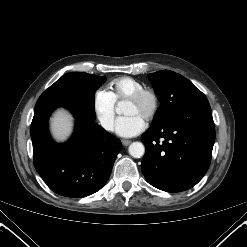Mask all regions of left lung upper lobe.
<instances>
[{
	"instance_id": "obj_1",
	"label": "left lung upper lobe",
	"mask_w": 247,
	"mask_h": 247,
	"mask_svg": "<svg viewBox=\"0 0 247 247\" xmlns=\"http://www.w3.org/2000/svg\"><path fill=\"white\" fill-rule=\"evenodd\" d=\"M149 79L161 101L153 123L176 116L189 106L208 102L206 96L195 85L173 71L151 73Z\"/></svg>"
}]
</instances>
